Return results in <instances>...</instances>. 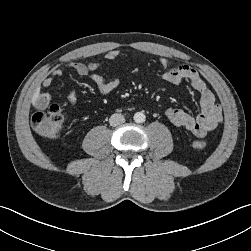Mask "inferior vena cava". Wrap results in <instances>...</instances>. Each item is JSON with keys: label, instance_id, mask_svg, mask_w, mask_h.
Segmentation results:
<instances>
[{"label": "inferior vena cava", "instance_id": "inferior-vena-cava-1", "mask_svg": "<svg viewBox=\"0 0 251 251\" xmlns=\"http://www.w3.org/2000/svg\"><path fill=\"white\" fill-rule=\"evenodd\" d=\"M124 122H125L124 116L122 114H118V113L111 115V117L109 119V123L113 127L119 126V125L123 124Z\"/></svg>", "mask_w": 251, "mask_h": 251}]
</instances>
